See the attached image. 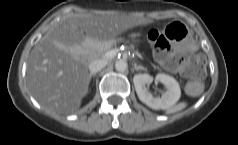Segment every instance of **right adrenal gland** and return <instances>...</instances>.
I'll return each mask as SVG.
<instances>
[{"mask_svg": "<svg viewBox=\"0 0 238 145\" xmlns=\"http://www.w3.org/2000/svg\"><path fill=\"white\" fill-rule=\"evenodd\" d=\"M96 74L90 73V79L95 76Z\"/></svg>", "mask_w": 238, "mask_h": 145, "instance_id": "right-adrenal-gland-1", "label": "right adrenal gland"}]
</instances>
